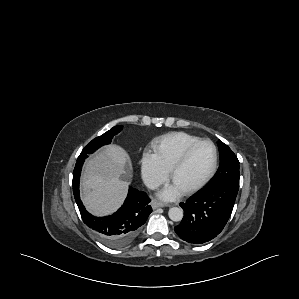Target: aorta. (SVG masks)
<instances>
[{"label":"aorta","instance_id":"1","mask_svg":"<svg viewBox=\"0 0 299 299\" xmlns=\"http://www.w3.org/2000/svg\"><path fill=\"white\" fill-rule=\"evenodd\" d=\"M168 216L172 221L178 222L182 220L184 212L180 207H172L169 209Z\"/></svg>","mask_w":299,"mask_h":299}]
</instances>
